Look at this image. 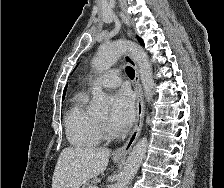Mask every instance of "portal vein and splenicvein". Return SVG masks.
<instances>
[{
  "label": "portal vein and splenic vein",
  "mask_w": 224,
  "mask_h": 188,
  "mask_svg": "<svg viewBox=\"0 0 224 188\" xmlns=\"http://www.w3.org/2000/svg\"><path fill=\"white\" fill-rule=\"evenodd\" d=\"M91 188H98L97 186H92Z\"/></svg>",
  "instance_id": "obj_1"
}]
</instances>
